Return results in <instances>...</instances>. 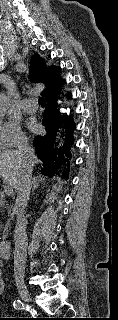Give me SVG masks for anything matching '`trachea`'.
<instances>
[{
	"instance_id": "trachea-1",
	"label": "trachea",
	"mask_w": 118,
	"mask_h": 320,
	"mask_svg": "<svg viewBox=\"0 0 118 320\" xmlns=\"http://www.w3.org/2000/svg\"><path fill=\"white\" fill-rule=\"evenodd\" d=\"M38 103H39L41 106H46V102H45V100H44L43 97H42V98H39Z\"/></svg>"
}]
</instances>
